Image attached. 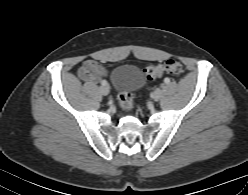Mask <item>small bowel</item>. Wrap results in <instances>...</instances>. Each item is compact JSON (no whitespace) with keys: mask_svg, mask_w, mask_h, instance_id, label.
<instances>
[{"mask_svg":"<svg viewBox=\"0 0 248 195\" xmlns=\"http://www.w3.org/2000/svg\"><path fill=\"white\" fill-rule=\"evenodd\" d=\"M79 77L90 84L99 82L108 76L107 69L98 61L89 59L79 69Z\"/></svg>","mask_w":248,"mask_h":195,"instance_id":"1","label":"small bowel"}]
</instances>
